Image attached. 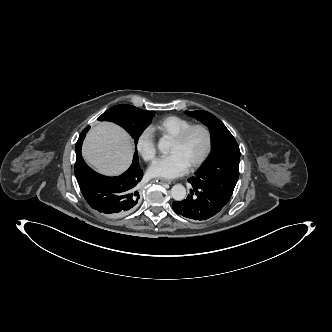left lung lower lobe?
<instances>
[{
  "label": "left lung lower lobe",
  "mask_w": 332,
  "mask_h": 332,
  "mask_svg": "<svg viewBox=\"0 0 332 332\" xmlns=\"http://www.w3.org/2000/svg\"><path fill=\"white\" fill-rule=\"evenodd\" d=\"M188 181L193 188L187 199L172 203V208L177 214L193 220H207L216 215L228 203L229 200L192 178Z\"/></svg>",
  "instance_id": "obj_1"
}]
</instances>
